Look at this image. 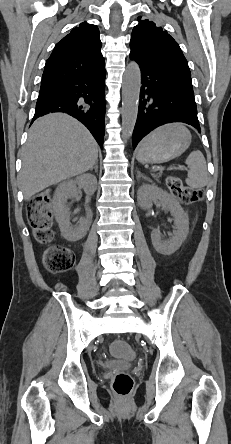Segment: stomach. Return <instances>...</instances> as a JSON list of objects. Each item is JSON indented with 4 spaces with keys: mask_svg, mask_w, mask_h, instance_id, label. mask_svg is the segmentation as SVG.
Here are the masks:
<instances>
[{
    "mask_svg": "<svg viewBox=\"0 0 231 444\" xmlns=\"http://www.w3.org/2000/svg\"><path fill=\"white\" fill-rule=\"evenodd\" d=\"M191 143V134L181 124L162 126L139 144L136 158L143 163H164L181 155Z\"/></svg>",
    "mask_w": 231,
    "mask_h": 444,
    "instance_id": "obj_1",
    "label": "stomach"
}]
</instances>
